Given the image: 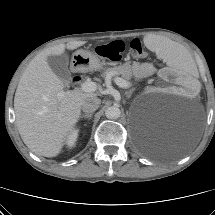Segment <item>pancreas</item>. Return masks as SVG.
I'll use <instances>...</instances> for the list:
<instances>
[{"label": "pancreas", "instance_id": "pancreas-1", "mask_svg": "<svg viewBox=\"0 0 215 215\" xmlns=\"http://www.w3.org/2000/svg\"><path fill=\"white\" fill-rule=\"evenodd\" d=\"M111 75H121L124 79L130 80L134 75V71L129 63H125L117 67L108 68L103 73V76Z\"/></svg>", "mask_w": 215, "mask_h": 215}]
</instances>
